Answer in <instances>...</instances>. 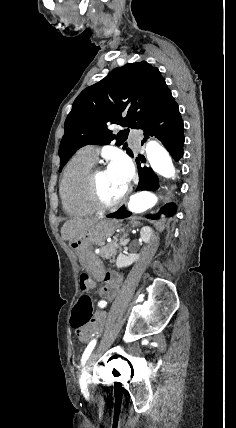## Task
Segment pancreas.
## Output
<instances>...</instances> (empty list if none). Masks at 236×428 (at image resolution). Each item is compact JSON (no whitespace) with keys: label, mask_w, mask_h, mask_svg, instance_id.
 Wrapping results in <instances>:
<instances>
[{"label":"pancreas","mask_w":236,"mask_h":428,"mask_svg":"<svg viewBox=\"0 0 236 428\" xmlns=\"http://www.w3.org/2000/svg\"><path fill=\"white\" fill-rule=\"evenodd\" d=\"M118 238V236H116ZM117 240H113L110 244H106V246H101L99 256L103 258V260H111V258H115L117 254Z\"/></svg>","instance_id":"1"}]
</instances>
